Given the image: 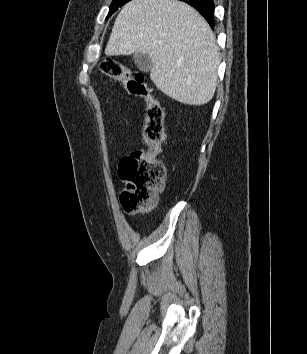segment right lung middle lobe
<instances>
[{"mask_svg":"<svg viewBox=\"0 0 307 354\" xmlns=\"http://www.w3.org/2000/svg\"><path fill=\"white\" fill-rule=\"evenodd\" d=\"M130 0H113V2L111 3L110 9H109V13L107 15L106 18H108L112 13H114L119 7H121L122 5H124L125 3H127Z\"/></svg>","mask_w":307,"mask_h":354,"instance_id":"obj_1","label":"right lung middle lobe"}]
</instances>
